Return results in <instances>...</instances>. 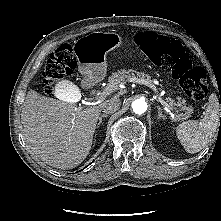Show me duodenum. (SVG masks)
I'll return each instance as SVG.
<instances>
[{"mask_svg": "<svg viewBox=\"0 0 221 221\" xmlns=\"http://www.w3.org/2000/svg\"><path fill=\"white\" fill-rule=\"evenodd\" d=\"M90 94L95 95L97 91L94 88L89 89Z\"/></svg>", "mask_w": 221, "mask_h": 221, "instance_id": "obj_1", "label": "duodenum"}]
</instances>
